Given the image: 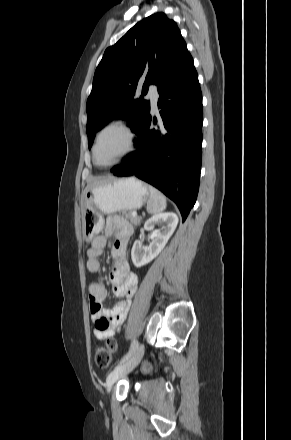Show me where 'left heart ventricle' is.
<instances>
[{"instance_id": "b2bd125f", "label": "left heart ventricle", "mask_w": 291, "mask_h": 440, "mask_svg": "<svg viewBox=\"0 0 291 440\" xmlns=\"http://www.w3.org/2000/svg\"><path fill=\"white\" fill-rule=\"evenodd\" d=\"M125 149V136L120 131L107 132L100 140L96 160L100 164L117 159Z\"/></svg>"}]
</instances>
